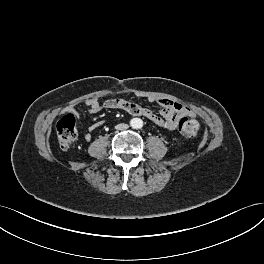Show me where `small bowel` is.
<instances>
[{
  "instance_id": "1",
  "label": "small bowel",
  "mask_w": 264,
  "mask_h": 264,
  "mask_svg": "<svg viewBox=\"0 0 264 264\" xmlns=\"http://www.w3.org/2000/svg\"><path fill=\"white\" fill-rule=\"evenodd\" d=\"M148 100L150 102L157 101L159 103L161 106L159 114L125 99H109L104 102H100L96 98H91L85 101V105L87 106L90 114H96L102 109H122L131 115L144 116L157 126L167 130H175L181 117L193 116V112L187 106L178 102L165 98L156 99L152 96L148 97ZM71 111L75 113L74 108H71ZM99 125V123H95L89 127V132L85 135L86 141L91 140L92 137L90 132L96 129Z\"/></svg>"
}]
</instances>
